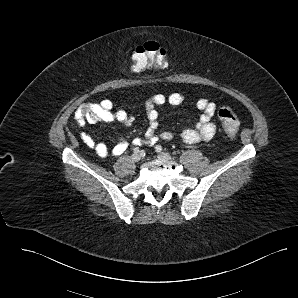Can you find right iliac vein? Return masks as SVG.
I'll list each match as a JSON object with an SVG mask.
<instances>
[{"instance_id": "63e3f726", "label": "right iliac vein", "mask_w": 298, "mask_h": 298, "mask_svg": "<svg viewBox=\"0 0 298 298\" xmlns=\"http://www.w3.org/2000/svg\"><path fill=\"white\" fill-rule=\"evenodd\" d=\"M131 159L133 162H139L141 159V155L139 153H134L132 154Z\"/></svg>"}]
</instances>
